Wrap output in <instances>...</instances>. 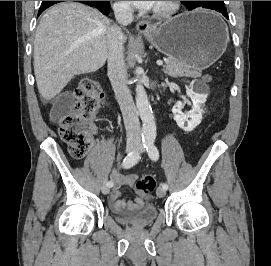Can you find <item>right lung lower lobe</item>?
<instances>
[{"label":"right lung lower lobe","mask_w":271,"mask_h":266,"mask_svg":"<svg viewBox=\"0 0 271 266\" xmlns=\"http://www.w3.org/2000/svg\"><path fill=\"white\" fill-rule=\"evenodd\" d=\"M59 2H63V1H42L38 15H40L45 9H47L51 5L59 3ZM76 2L87 4L91 7H96L105 15L108 14L109 9H110L109 1H76Z\"/></svg>","instance_id":"right-lung-lower-lobe-1"}]
</instances>
